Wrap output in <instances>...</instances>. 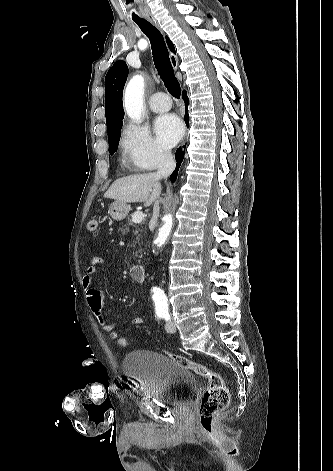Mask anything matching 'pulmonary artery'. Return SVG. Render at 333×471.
<instances>
[{"mask_svg":"<svg viewBox=\"0 0 333 471\" xmlns=\"http://www.w3.org/2000/svg\"><path fill=\"white\" fill-rule=\"evenodd\" d=\"M149 105L152 111L161 113L171 108V100L164 92H157L150 97Z\"/></svg>","mask_w":333,"mask_h":471,"instance_id":"1","label":"pulmonary artery"}]
</instances>
